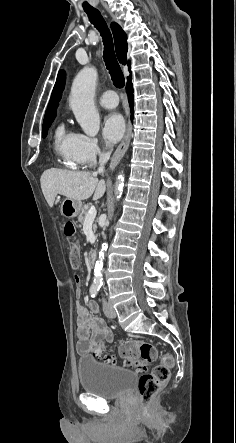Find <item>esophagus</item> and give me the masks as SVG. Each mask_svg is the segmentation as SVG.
<instances>
[{
    "instance_id": "esophagus-1",
    "label": "esophagus",
    "mask_w": 236,
    "mask_h": 443,
    "mask_svg": "<svg viewBox=\"0 0 236 443\" xmlns=\"http://www.w3.org/2000/svg\"><path fill=\"white\" fill-rule=\"evenodd\" d=\"M131 133H132V127H131V123L129 122L127 125L125 136H124L123 140L121 141V143L119 144V146L117 147V149L115 150V152L111 158V161L109 163L110 170H113L116 167V165L119 163V161L122 159V157L126 153L129 143H130Z\"/></svg>"
}]
</instances>
